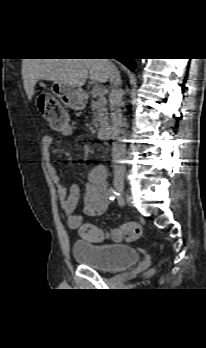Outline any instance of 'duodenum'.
I'll return each mask as SVG.
<instances>
[{
	"label": "duodenum",
	"mask_w": 206,
	"mask_h": 348,
	"mask_svg": "<svg viewBox=\"0 0 206 348\" xmlns=\"http://www.w3.org/2000/svg\"><path fill=\"white\" fill-rule=\"evenodd\" d=\"M112 133H113V128L111 125H103L99 132H98V136L101 138V139H109L111 136H112Z\"/></svg>",
	"instance_id": "duodenum-1"
}]
</instances>
